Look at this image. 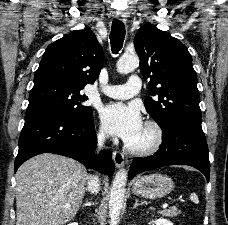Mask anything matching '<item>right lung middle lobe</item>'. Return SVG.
I'll use <instances>...</instances> for the list:
<instances>
[{
	"mask_svg": "<svg viewBox=\"0 0 228 225\" xmlns=\"http://www.w3.org/2000/svg\"><path fill=\"white\" fill-rule=\"evenodd\" d=\"M81 89L83 88L61 82L35 84L29 95L26 114L56 109L79 117L89 116L92 108L82 104L88 97L80 94Z\"/></svg>",
	"mask_w": 228,
	"mask_h": 225,
	"instance_id": "obj_1",
	"label": "right lung middle lobe"
}]
</instances>
